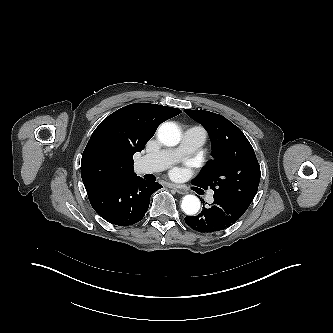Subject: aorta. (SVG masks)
Returning <instances> with one entry per match:
<instances>
[{
  "instance_id": "1",
  "label": "aorta",
  "mask_w": 333,
  "mask_h": 333,
  "mask_svg": "<svg viewBox=\"0 0 333 333\" xmlns=\"http://www.w3.org/2000/svg\"><path fill=\"white\" fill-rule=\"evenodd\" d=\"M158 138L166 146H175L181 139L178 126L173 122H165L158 128ZM181 208L187 215H194L200 209V200L195 195L183 197Z\"/></svg>"
}]
</instances>
